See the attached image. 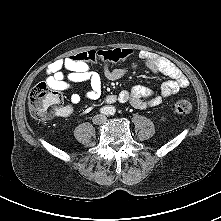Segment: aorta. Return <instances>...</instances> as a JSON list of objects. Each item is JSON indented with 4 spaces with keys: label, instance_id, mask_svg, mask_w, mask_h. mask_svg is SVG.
<instances>
[{
    "label": "aorta",
    "instance_id": "aorta-1",
    "mask_svg": "<svg viewBox=\"0 0 221 221\" xmlns=\"http://www.w3.org/2000/svg\"><path fill=\"white\" fill-rule=\"evenodd\" d=\"M107 111H108V114H110V115H112V114H114L115 113V108L114 107H112V106H109V107H107Z\"/></svg>",
    "mask_w": 221,
    "mask_h": 221
}]
</instances>
